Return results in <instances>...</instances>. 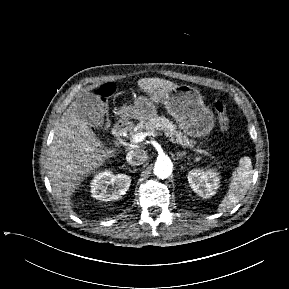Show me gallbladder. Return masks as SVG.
Wrapping results in <instances>:
<instances>
[{"mask_svg": "<svg viewBox=\"0 0 289 289\" xmlns=\"http://www.w3.org/2000/svg\"><path fill=\"white\" fill-rule=\"evenodd\" d=\"M78 111L90 127L99 129L103 127V108L92 93H85L76 100Z\"/></svg>", "mask_w": 289, "mask_h": 289, "instance_id": "bac80fb5", "label": "gallbladder"}]
</instances>
